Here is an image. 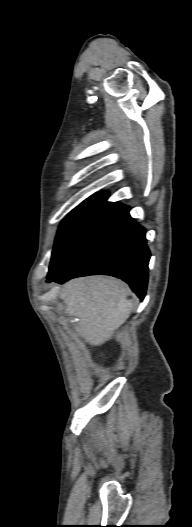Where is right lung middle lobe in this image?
Masks as SVG:
<instances>
[{"instance_id":"1","label":"right lung middle lobe","mask_w":192,"mask_h":527,"mask_svg":"<svg viewBox=\"0 0 192 527\" xmlns=\"http://www.w3.org/2000/svg\"><path fill=\"white\" fill-rule=\"evenodd\" d=\"M98 194H95L88 199H86L84 202H82L78 207H76L73 211H71L65 219L62 221L60 228L58 230V234L56 236L55 245L58 242V240L61 238V236L65 233V231L69 228V226L86 210V208L93 202L95 197Z\"/></svg>"}]
</instances>
